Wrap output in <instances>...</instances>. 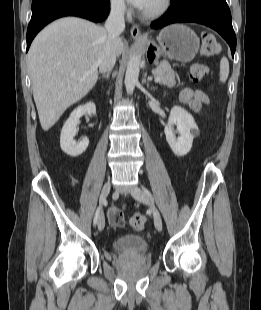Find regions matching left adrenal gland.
Segmentation results:
<instances>
[{
    "label": "left adrenal gland",
    "mask_w": 261,
    "mask_h": 310,
    "mask_svg": "<svg viewBox=\"0 0 261 310\" xmlns=\"http://www.w3.org/2000/svg\"><path fill=\"white\" fill-rule=\"evenodd\" d=\"M147 88H149V83H147ZM150 89L151 90H156L157 88L156 87H151Z\"/></svg>",
    "instance_id": "a2214340"
}]
</instances>
